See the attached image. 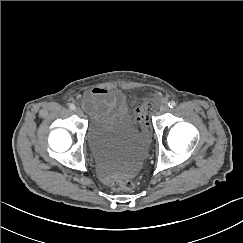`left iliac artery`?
<instances>
[{
    "label": "left iliac artery",
    "mask_w": 243,
    "mask_h": 243,
    "mask_svg": "<svg viewBox=\"0 0 243 243\" xmlns=\"http://www.w3.org/2000/svg\"><path fill=\"white\" fill-rule=\"evenodd\" d=\"M169 108H174L176 106V102L175 101H171L168 104Z\"/></svg>",
    "instance_id": "left-iliac-artery-1"
}]
</instances>
